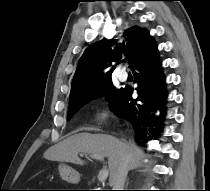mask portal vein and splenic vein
Returning <instances> with one entry per match:
<instances>
[{
  "instance_id": "obj_1",
  "label": "portal vein and splenic vein",
  "mask_w": 210,
  "mask_h": 191,
  "mask_svg": "<svg viewBox=\"0 0 210 191\" xmlns=\"http://www.w3.org/2000/svg\"><path fill=\"white\" fill-rule=\"evenodd\" d=\"M81 156H83V154H81ZM91 158L93 159H98V160H101L103 161L104 160V157L101 156V155H90ZM108 174H109V171L107 168H103L100 172H99V175H98V179L99 181L103 182L107 179L108 177Z\"/></svg>"
}]
</instances>
